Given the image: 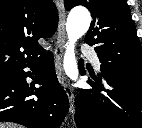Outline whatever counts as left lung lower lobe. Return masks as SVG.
Masks as SVG:
<instances>
[{
  "instance_id": "left-lung-lower-lobe-1",
  "label": "left lung lower lobe",
  "mask_w": 142,
  "mask_h": 128,
  "mask_svg": "<svg viewBox=\"0 0 142 128\" xmlns=\"http://www.w3.org/2000/svg\"><path fill=\"white\" fill-rule=\"evenodd\" d=\"M85 74L83 63H79ZM102 72L76 97L77 128H142V78Z\"/></svg>"
}]
</instances>
